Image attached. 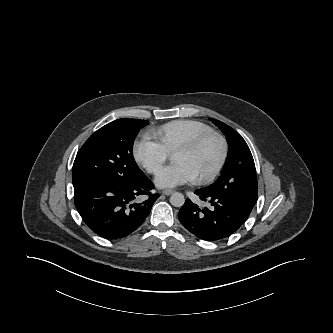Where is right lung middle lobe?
I'll return each mask as SVG.
<instances>
[{"label": "right lung middle lobe", "mask_w": 333, "mask_h": 333, "mask_svg": "<svg viewBox=\"0 0 333 333\" xmlns=\"http://www.w3.org/2000/svg\"><path fill=\"white\" fill-rule=\"evenodd\" d=\"M148 121L122 118L94 132L76 155L73 186L94 183L129 184L142 171L133 157V143Z\"/></svg>", "instance_id": "right-lung-middle-lobe-1"}]
</instances>
